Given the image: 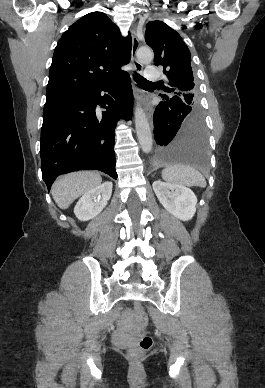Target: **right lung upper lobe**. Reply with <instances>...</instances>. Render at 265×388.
Here are the masks:
<instances>
[{"mask_svg": "<svg viewBox=\"0 0 265 388\" xmlns=\"http://www.w3.org/2000/svg\"><path fill=\"white\" fill-rule=\"evenodd\" d=\"M131 36L103 12H91L63 33L53 55L46 102L110 83L130 60Z\"/></svg>", "mask_w": 265, "mask_h": 388, "instance_id": "1", "label": "right lung upper lobe"}]
</instances>
